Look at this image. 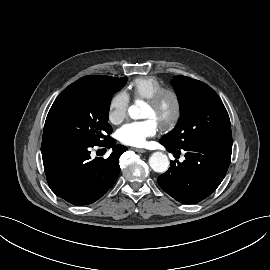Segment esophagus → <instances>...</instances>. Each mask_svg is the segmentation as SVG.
I'll return each mask as SVG.
<instances>
[{"instance_id": "34e87169", "label": "esophagus", "mask_w": 270, "mask_h": 270, "mask_svg": "<svg viewBox=\"0 0 270 270\" xmlns=\"http://www.w3.org/2000/svg\"><path fill=\"white\" fill-rule=\"evenodd\" d=\"M133 150H134L135 152H138V153H145V152H147L146 149H140V148H133Z\"/></svg>"}]
</instances>
